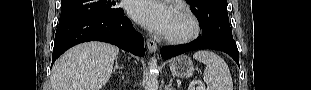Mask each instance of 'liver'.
Wrapping results in <instances>:
<instances>
[{"label": "liver", "instance_id": "6515ba94", "mask_svg": "<svg viewBox=\"0 0 311 90\" xmlns=\"http://www.w3.org/2000/svg\"><path fill=\"white\" fill-rule=\"evenodd\" d=\"M118 53L119 48L103 42H86L69 49L52 68V90H101Z\"/></svg>", "mask_w": 311, "mask_h": 90}]
</instances>
